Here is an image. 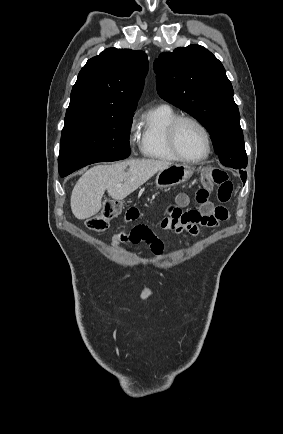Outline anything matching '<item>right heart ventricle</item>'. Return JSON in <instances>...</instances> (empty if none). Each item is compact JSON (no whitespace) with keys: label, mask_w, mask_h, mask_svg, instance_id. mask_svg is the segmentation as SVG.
Masks as SVG:
<instances>
[{"label":"right heart ventricle","mask_w":283,"mask_h":434,"mask_svg":"<svg viewBox=\"0 0 283 434\" xmlns=\"http://www.w3.org/2000/svg\"><path fill=\"white\" fill-rule=\"evenodd\" d=\"M178 116L168 105H160L151 109L143 118L140 133V151L143 156L163 161H178L167 142V128Z\"/></svg>","instance_id":"1"}]
</instances>
